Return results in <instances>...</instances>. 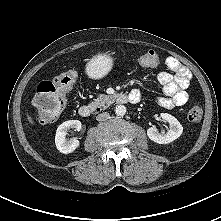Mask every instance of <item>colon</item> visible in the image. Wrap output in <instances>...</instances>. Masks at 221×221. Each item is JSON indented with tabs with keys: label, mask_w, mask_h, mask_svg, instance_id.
Masks as SVG:
<instances>
[{
	"label": "colon",
	"mask_w": 221,
	"mask_h": 221,
	"mask_svg": "<svg viewBox=\"0 0 221 221\" xmlns=\"http://www.w3.org/2000/svg\"><path fill=\"white\" fill-rule=\"evenodd\" d=\"M142 67H155L159 63V55L153 50L142 53L137 57ZM77 79L75 70H68L51 81L41 82L33 99V106L39 123L48 124L56 121L66 104V95ZM202 108L192 105L188 111V119L197 122L202 118Z\"/></svg>",
	"instance_id": "obj_1"
}]
</instances>
